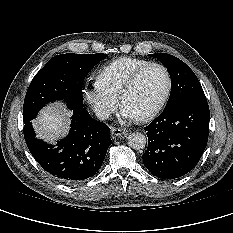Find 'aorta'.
<instances>
[{"instance_id":"1","label":"aorta","mask_w":233,"mask_h":233,"mask_svg":"<svg viewBox=\"0 0 233 233\" xmlns=\"http://www.w3.org/2000/svg\"><path fill=\"white\" fill-rule=\"evenodd\" d=\"M146 143L147 138L143 133L133 132L128 136V145L133 149H143Z\"/></svg>"}]
</instances>
